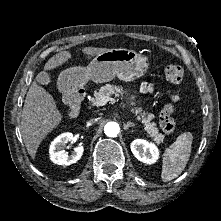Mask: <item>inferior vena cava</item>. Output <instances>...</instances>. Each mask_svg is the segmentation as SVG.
<instances>
[{"label":"inferior vena cava","mask_w":221,"mask_h":221,"mask_svg":"<svg viewBox=\"0 0 221 221\" xmlns=\"http://www.w3.org/2000/svg\"><path fill=\"white\" fill-rule=\"evenodd\" d=\"M95 122V120L94 119H91L89 122H88V124H92V123H94Z\"/></svg>","instance_id":"inferior-vena-cava-1"}]
</instances>
